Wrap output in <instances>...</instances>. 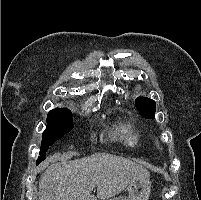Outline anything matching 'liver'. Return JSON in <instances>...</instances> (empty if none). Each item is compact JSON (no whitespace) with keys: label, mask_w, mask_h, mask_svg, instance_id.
<instances>
[{"label":"liver","mask_w":201,"mask_h":200,"mask_svg":"<svg viewBox=\"0 0 201 200\" xmlns=\"http://www.w3.org/2000/svg\"><path fill=\"white\" fill-rule=\"evenodd\" d=\"M138 179H150L149 171L129 159L96 153L50 165L41 175L39 200H105ZM97 186V197L92 195Z\"/></svg>","instance_id":"6515ba94"}]
</instances>
